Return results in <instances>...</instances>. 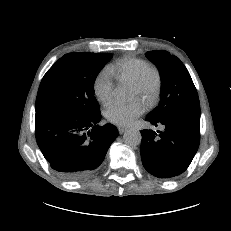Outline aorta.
Listing matches in <instances>:
<instances>
[{"instance_id":"762f6f07","label":"aorta","mask_w":231,"mask_h":231,"mask_svg":"<svg viewBox=\"0 0 231 231\" xmlns=\"http://www.w3.org/2000/svg\"><path fill=\"white\" fill-rule=\"evenodd\" d=\"M114 94L118 99H125L127 97V91L122 87H117L114 90ZM123 140L126 145L134 147L141 143L142 136L139 130L131 128L125 131Z\"/></svg>"}]
</instances>
